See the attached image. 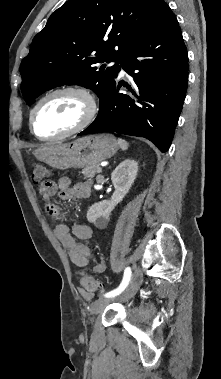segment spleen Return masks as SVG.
<instances>
[{"mask_svg": "<svg viewBox=\"0 0 221 379\" xmlns=\"http://www.w3.org/2000/svg\"><path fill=\"white\" fill-rule=\"evenodd\" d=\"M118 143H119V145H120V147L122 149H127L128 148V143L125 140L119 138L118 139Z\"/></svg>", "mask_w": 221, "mask_h": 379, "instance_id": "1", "label": "spleen"}]
</instances>
